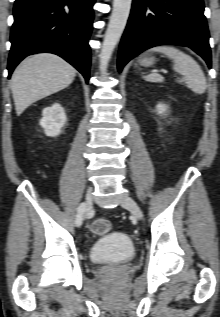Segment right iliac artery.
I'll list each match as a JSON object with an SVG mask.
<instances>
[{
	"instance_id": "obj_1",
	"label": "right iliac artery",
	"mask_w": 220,
	"mask_h": 317,
	"mask_svg": "<svg viewBox=\"0 0 220 317\" xmlns=\"http://www.w3.org/2000/svg\"><path fill=\"white\" fill-rule=\"evenodd\" d=\"M85 210V203H81L77 210V215L75 219L76 226H80L82 224V216Z\"/></svg>"
}]
</instances>
